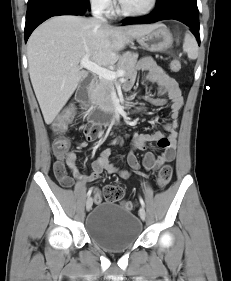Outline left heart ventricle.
<instances>
[{
    "label": "left heart ventricle",
    "mask_w": 231,
    "mask_h": 281,
    "mask_svg": "<svg viewBox=\"0 0 231 281\" xmlns=\"http://www.w3.org/2000/svg\"><path fill=\"white\" fill-rule=\"evenodd\" d=\"M151 0H121L123 5L130 10H142L149 6Z\"/></svg>",
    "instance_id": "1"
}]
</instances>
